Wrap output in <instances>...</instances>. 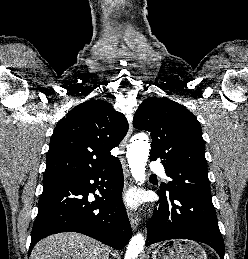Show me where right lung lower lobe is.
<instances>
[{
    "instance_id": "1",
    "label": "right lung lower lobe",
    "mask_w": 248,
    "mask_h": 259,
    "mask_svg": "<svg viewBox=\"0 0 248 259\" xmlns=\"http://www.w3.org/2000/svg\"><path fill=\"white\" fill-rule=\"evenodd\" d=\"M123 182L116 158L105 169L43 184L28 255L39 240L60 232H79L123 249L132 235L121 197ZM96 189L102 197L95 195L96 202H89Z\"/></svg>"
}]
</instances>
